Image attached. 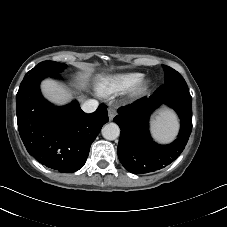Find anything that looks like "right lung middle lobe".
<instances>
[{
	"instance_id": "dd1d6c3e",
	"label": "right lung middle lobe",
	"mask_w": 227,
	"mask_h": 227,
	"mask_svg": "<svg viewBox=\"0 0 227 227\" xmlns=\"http://www.w3.org/2000/svg\"><path fill=\"white\" fill-rule=\"evenodd\" d=\"M65 64L58 63L55 61H43L36 65L32 70H30L26 75L36 74V73H59L65 68Z\"/></svg>"
}]
</instances>
